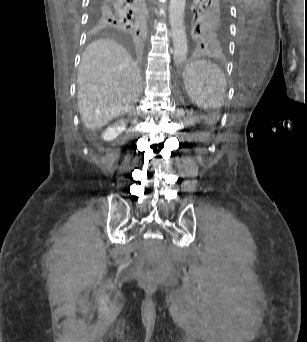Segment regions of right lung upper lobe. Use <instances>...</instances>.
<instances>
[{"instance_id":"cb5924a9","label":"right lung upper lobe","mask_w":307,"mask_h":342,"mask_svg":"<svg viewBox=\"0 0 307 342\" xmlns=\"http://www.w3.org/2000/svg\"><path fill=\"white\" fill-rule=\"evenodd\" d=\"M90 4L93 33L136 42L145 38L148 17L144 0H92Z\"/></svg>"}]
</instances>
